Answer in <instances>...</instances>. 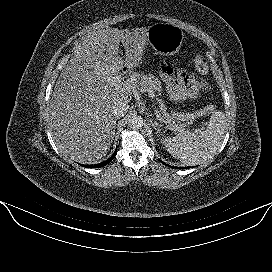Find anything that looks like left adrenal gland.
I'll return each mask as SVG.
<instances>
[{"instance_id":"a2214340","label":"left adrenal gland","mask_w":272,"mask_h":272,"mask_svg":"<svg viewBox=\"0 0 272 272\" xmlns=\"http://www.w3.org/2000/svg\"><path fill=\"white\" fill-rule=\"evenodd\" d=\"M150 122H151L153 128L155 129L157 136H160V132H161V130H163L162 125H159V123H157L153 119Z\"/></svg>"}]
</instances>
